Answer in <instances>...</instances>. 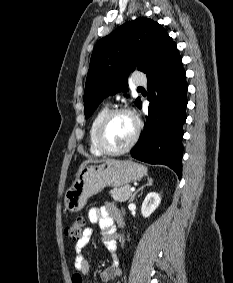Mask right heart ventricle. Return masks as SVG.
<instances>
[{"instance_id":"obj_1","label":"right heart ventricle","mask_w":233,"mask_h":283,"mask_svg":"<svg viewBox=\"0 0 233 283\" xmlns=\"http://www.w3.org/2000/svg\"><path fill=\"white\" fill-rule=\"evenodd\" d=\"M109 111L110 108L108 105L102 106L93 116L92 121L90 123L89 132H88V144H89V151L94 156L103 155V153L98 149L96 145V131L100 122Z\"/></svg>"}]
</instances>
